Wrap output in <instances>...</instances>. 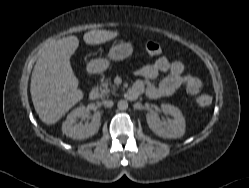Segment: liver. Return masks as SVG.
<instances>
[{
    "label": "liver",
    "instance_id": "obj_1",
    "mask_svg": "<svg viewBox=\"0 0 249 188\" xmlns=\"http://www.w3.org/2000/svg\"><path fill=\"white\" fill-rule=\"evenodd\" d=\"M117 31L92 30L84 34L88 45H99L117 37ZM79 47L76 36L64 37L46 46L31 76L30 92L39 118L47 125L55 124L83 98L78 89L70 57Z\"/></svg>",
    "mask_w": 249,
    "mask_h": 188
}]
</instances>
